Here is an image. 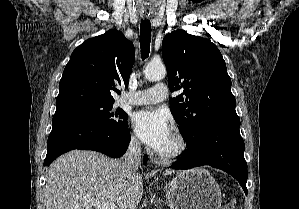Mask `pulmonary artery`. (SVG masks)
Returning a JSON list of instances; mask_svg holds the SVG:
<instances>
[{"mask_svg": "<svg viewBox=\"0 0 299 209\" xmlns=\"http://www.w3.org/2000/svg\"><path fill=\"white\" fill-rule=\"evenodd\" d=\"M168 96L166 84L157 83L153 87L126 93L123 102L131 105L153 104L165 100Z\"/></svg>", "mask_w": 299, "mask_h": 209, "instance_id": "1", "label": "pulmonary artery"}]
</instances>
